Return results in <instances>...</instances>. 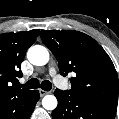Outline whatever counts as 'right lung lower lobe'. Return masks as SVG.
<instances>
[{
  "mask_svg": "<svg viewBox=\"0 0 119 119\" xmlns=\"http://www.w3.org/2000/svg\"><path fill=\"white\" fill-rule=\"evenodd\" d=\"M39 97L38 90H28L0 99V119H29Z\"/></svg>",
  "mask_w": 119,
  "mask_h": 119,
  "instance_id": "right-lung-lower-lobe-1",
  "label": "right lung lower lobe"
}]
</instances>
